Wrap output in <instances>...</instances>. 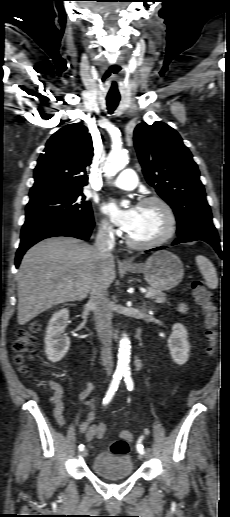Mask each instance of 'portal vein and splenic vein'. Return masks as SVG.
Returning a JSON list of instances; mask_svg holds the SVG:
<instances>
[{
  "instance_id": "portal-vein-and-splenic-vein-1",
  "label": "portal vein and splenic vein",
  "mask_w": 230,
  "mask_h": 517,
  "mask_svg": "<svg viewBox=\"0 0 230 517\" xmlns=\"http://www.w3.org/2000/svg\"><path fill=\"white\" fill-rule=\"evenodd\" d=\"M153 296V292L151 291H148L146 294H145V297L146 298H149V297H152Z\"/></svg>"
}]
</instances>
